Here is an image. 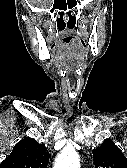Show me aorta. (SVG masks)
Returning a JSON list of instances; mask_svg holds the SVG:
<instances>
[{"instance_id":"aorta-1","label":"aorta","mask_w":127,"mask_h":168,"mask_svg":"<svg viewBox=\"0 0 127 168\" xmlns=\"http://www.w3.org/2000/svg\"><path fill=\"white\" fill-rule=\"evenodd\" d=\"M54 168H80L77 152L72 147L65 148L57 157Z\"/></svg>"}]
</instances>
